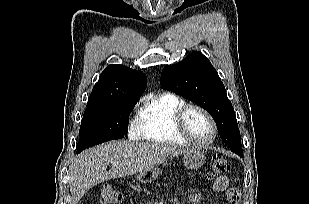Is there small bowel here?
Instances as JSON below:
<instances>
[{"instance_id": "c3829d8e", "label": "small bowel", "mask_w": 309, "mask_h": 204, "mask_svg": "<svg viewBox=\"0 0 309 204\" xmlns=\"http://www.w3.org/2000/svg\"><path fill=\"white\" fill-rule=\"evenodd\" d=\"M213 190L215 192L224 193L231 204H233L234 198H239L238 190L236 188L229 187V178L226 175H222L215 180ZM190 200L192 204H201V197L197 193L191 194Z\"/></svg>"}]
</instances>
